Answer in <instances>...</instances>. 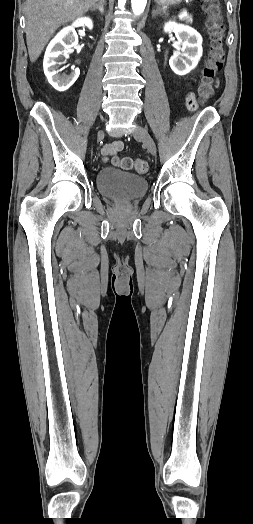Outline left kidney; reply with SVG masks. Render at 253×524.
<instances>
[{
    "mask_svg": "<svg viewBox=\"0 0 253 524\" xmlns=\"http://www.w3.org/2000/svg\"><path fill=\"white\" fill-rule=\"evenodd\" d=\"M164 31L167 33L174 32L182 48L174 54L169 65L177 75H186L192 71L198 64L202 53V37L193 28L169 21L164 25Z\"/></svg>",
    "mask_w": 253,
    "mask_h": 524,
    "instance_id": "left-kidney-1",
    "label": "left kidney"
}]
</instances>
